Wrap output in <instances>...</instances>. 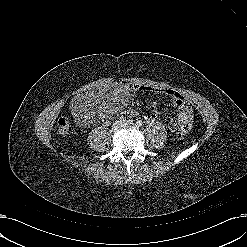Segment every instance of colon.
<instances>
[{"instance_id":"1","label":"colon","mask_w":247,"mask_h":247,"mask_svg":"<svg viewBox=\"0 0 247 247\" xmlns=\"http://www.w3.org/2000/svg\"><path fill=\"white\" fill-rule=\"evenodd\" d=\"M57 130L61 135H66L70 131V121L67 117H60L57 120ZM186 129L178 128L175 130V137L177 139H182L186 133Z\"/></svg>"}]
</instances>
